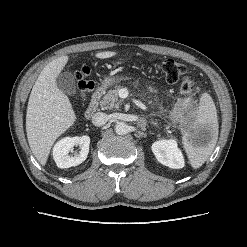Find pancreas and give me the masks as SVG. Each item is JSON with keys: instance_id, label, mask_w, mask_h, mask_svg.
Here are the masks:
<instances>
[{"instance_id": "1", "label": "pancreas", "mask_w": 247, "mask_h": 247, "mask_svg": "<svg viewBox=\"0 0 247 247\" xmlns=\"http://www.w3.org/2000/svg\"><path fill=\"white\" fill-rule=\"evenodd\" d=\"M122 88V86L118 85L110 89L100 101L101 108L105 110L118 109L121 105L118 94ZM149 103L151 102L149 101Z\"/></svg>"}]
</instances>
